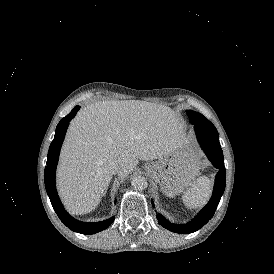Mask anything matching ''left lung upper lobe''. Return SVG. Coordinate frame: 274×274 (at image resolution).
Segmentation results:
<instances>
[{
  "mask_svg": "<svg viewBox=\"0 0 274 274\" xmlns=\"http://www.w3.org/2000/svg\"><path fill=\"white\" fill-rule=\"evenodd\" d=\"M186 112H187V114H188V117H193V118L203 117V118H205L202 114L197 113V112H195V111L189 110V111H186ZM209 122H210V121H209ZM210 123H211V122H210Z\"/></svg>",
  "mask_w": 274,
  "mask_h": 274,
  "instance_id": "1",
  "label": "left lung upper lobe"
}]
</instances>
